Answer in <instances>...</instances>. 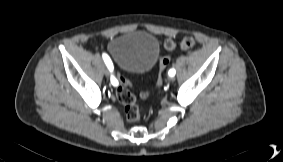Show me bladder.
<instances>
[{"label":"bladder","mask_w":283,"mask_h":162,"mask_svg":"<svg viewBox=\"0 0 283 162\" xmlns=\"http://www.w3.org/2000/svg\"><path fill=\"white\" fill-rule=\"evenodd\" d=\"M108 50L115 63L132 73H145L156 64L160 45L158 39L147 32L132 31L113 38Z\"/></svg>","instance_id":"obj_1"}]
</instances>
